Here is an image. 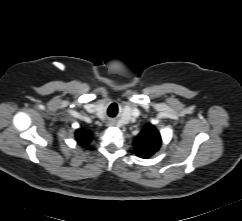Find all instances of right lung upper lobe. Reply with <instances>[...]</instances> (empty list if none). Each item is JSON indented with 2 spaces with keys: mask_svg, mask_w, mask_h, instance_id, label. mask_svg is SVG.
I'll return each instance as SVG.
<instances>
[{
  "mask_svg": "<svg viewBox=\"0 0 242 221\" xmlns=\"http://www.w3.org/2000/svg\"><path fill=\"white\" fill-rule=\"evenodd\" d=\"M91 135V132L87 130L78 129L76 131V139L82 146H86L91 141Z\"/></svg>",
  "mask_w": 242,
  "mask_h": 221,
  "instance_id": "1",
  "label": "right lung upper lobe"
}]
</instances>
